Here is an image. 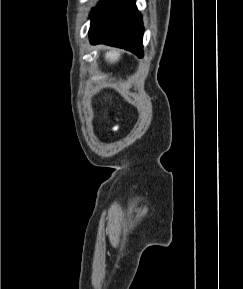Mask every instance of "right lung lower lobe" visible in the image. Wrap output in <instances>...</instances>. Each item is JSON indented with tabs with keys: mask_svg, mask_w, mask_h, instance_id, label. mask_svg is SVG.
Instances as JSON below:
<instances>
[{
	"mask_svg": "<svg viewBox=\"0 0 243 289\" xmlns=\"http://www.w3.org/2000/svg\"><path fill=\"white\" fill-rule=\"evenodd\" d=\"M91 44H107L143 56V23L134 0H102L90 14Z\"/></svg>",
	"mask_w": 243,
	"mask_h": 289,
	"instance_id": "right-lung-lower-lobe-1",
	"label": "right lung lower lobe"
}]
</instances>
